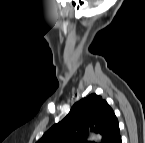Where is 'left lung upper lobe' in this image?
Returning a JSON list of instances; mask_svg holds the SVG:
<instances>
[{"instance_id":"obj_1","label":"left lung upper lobe","mask_w":145,"mask_h":143,"mask_svg":"<svg viewBox=\"0 0 145 143\" xmlns=\"http://www.w3.org/2000/svg\"><path fill=\"white\" fill-rule=\"evenodd\" d=\"M89 128L102 135V143H113L120 136L114 111L96 94L76 102L68 115L51 127L38 143H89L86 141Z\"/></svg>"}]
</instances>
